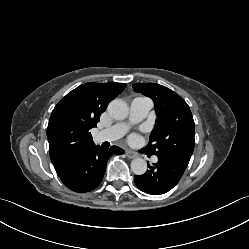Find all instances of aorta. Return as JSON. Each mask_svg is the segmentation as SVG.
Instances as JSON below:
<instances>
[{
    "label": "aorta",
    "instance_id": "aorta-1",
    "mask_svg": "<svg viewBox=\"0 0 249 249\" xmlns=\"http://www.w3.org/2000/svg\"><path fill=\"white\" fill-rule=\"evenodd\" d=\"M108 113L116 120H123L128 116L129 108L121 99H114L108 105ZM131 170L135 175H143L147 171V162L142 158L131 161Z\"/></svg>",
    "mask_w": 249,
    "mask_h": 249
}]
</instances>
